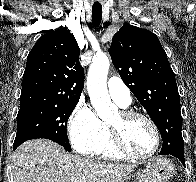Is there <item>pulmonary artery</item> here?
Returning <instances> with one entry per match:
<instances>
[{"label":"pulmonary artery","instance_id":"pulmonary-artery-1","mask_svg":"<svg viewBox=\"0 0 196 182\" xmlns=\"http://www.w3.org/2000/svg\"><path fill=\"white\" fill-rule=\"evenodd\" d=\"M107 89L110 97L122 107L131 104V95L128 87L119 78H110L107 83Z\"/></svg>","mask_w":196,"mask_h":182}]
</instances>
